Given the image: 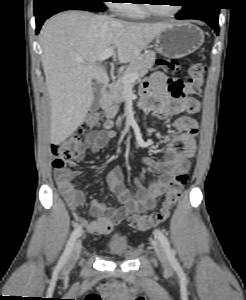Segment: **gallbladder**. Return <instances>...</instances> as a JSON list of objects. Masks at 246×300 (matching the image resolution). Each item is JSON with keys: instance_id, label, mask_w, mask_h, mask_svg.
I'll use <instances>...</instances> for the list:
<instances>
[{"instance_id": "1", "label": "gallbladder", "mask_w": 246, "mask_h": 300, "mask_svg": "<svg viewBox=\"0 0 246 300\" xmlns=\"http://www.w3.org/2000/svg\"><path fill=\"white\" fill-rule=\"evenodd\" d=\"M101 100V86L98 82L93 83V102L91 105L92 110H97L100 107Z\"/></svg>"}]
</instances>
